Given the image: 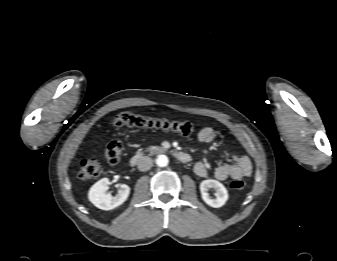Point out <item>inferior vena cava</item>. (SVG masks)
<instances>
[{
    "label": "inferior vena cava",
    "mask_w": 337,
    "mask_h": 261,
    "mask_svg": "<svg viewBox=\"0 0 337 261\" xmlns=\"http://www.w3.org/2000/svg\"><path fill=\"white\" fill-rule=\"evenodd\" d=\"M153 165V160L148 156H143L138 160V169L142 172L148 171Z\"/></svg>",
    "instance_id": "obj_1"
}]
</instances>
